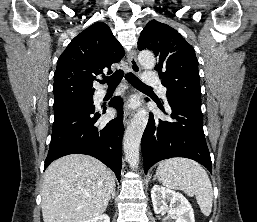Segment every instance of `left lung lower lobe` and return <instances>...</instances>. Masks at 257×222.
<instances>
[{
  "mask_svg": "<svg viewBox=\"0 0 257 222\" xmlns=\"http://www.w3.org/2000/svg\"><path fill=\"white\" fill-rule=\"evenodd\" d=\"M168 103L173 120L164 121L150 115L142 136L145 173L156 162L172 157L193 159L212 173L210 153L203 131L201 106L176 98L168 99Z\"/></svg>",
  "mask_w": 257,
  "mask_h": 222,
  "instance_id": "0a47b994",
  "label": "left lung lower lobe"
}]
</instances>
